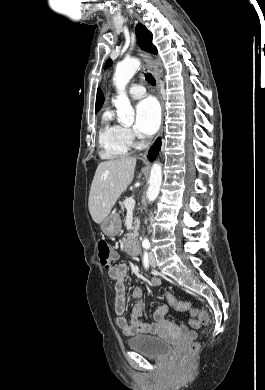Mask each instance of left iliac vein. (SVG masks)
Instances as JSON below:
<instances>
[{
    "label": "left iliac vein",
    "mask_w": 265,
    "mask_h": 390,
    "mask_svg": "<svg viewBox=\"0 0 265 390\" xmlns=\"http://www.w3.org/2000/svg\"><path fill=\"white\" fill-rule=\"evenodd\" d=\"M149 259H150L151 267H155L156 266V261H155L154 254L152 252L149 253Z\"/></svg>",
    "instance_id": "left-iliac-vein-1"
}]
</instances>
